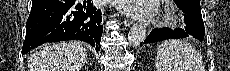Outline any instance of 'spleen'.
<instances>
[{"mask_svg":"<svg viewBox=\"0 0 230 71\" xmlns=\"http://www.w3.org/2000/svg\"><path fill=\"white\" fill-rule=\"evenodd\" d=\"M155 65L157 71H204L199 52L189 43L175 39L159 45Z\"/></svg>","mask_w":230,"mask_h":71,"instance_id":"1","label":"spleen"}]
</instances>
